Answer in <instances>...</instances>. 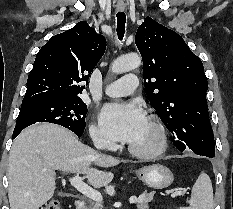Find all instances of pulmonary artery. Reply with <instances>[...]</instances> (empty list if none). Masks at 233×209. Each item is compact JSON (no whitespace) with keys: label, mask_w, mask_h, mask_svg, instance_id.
<instances>
[{"label":"pulmonary artery","mask_w":233,"mask_h":209,"mask_svg":"<svg viewBox=\"0 0 233 209\" xmlns=\"http://www.w3.org/2000/svg\"><path fill=\"white\" fill-rule=\"evenodd\" d=\"M138 86V77L134 74L125 75L118 80L110 83L104 89L108 96L118 97L133 93Z\"/></svg>","instance_id":"pulmonary-artery-1"}]
</instances>
